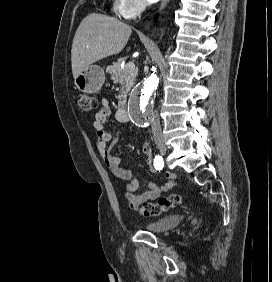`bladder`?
<instances>
[{"instance_id":"obj_1","label":"bladder","mask_w":272,"mask_h":282,"mask_svg":"<svg viewBox=\"0 0 272 282\" xmlns=\"http://www.w3.org/2000/svg\"><path fill=\"white\" fill-rule=\"evenodd\" d=\"M182 220L180 214L163 217L157 221L143 224V228L148 231L160 232L175 227Z\"/></svg>"}]
</instances>
